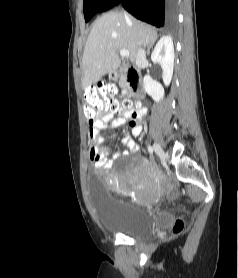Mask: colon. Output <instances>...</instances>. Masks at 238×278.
<instances>
[{
	"mask_svg": "<svg viewBox=\"0 0 238 278\" xmlns=\"http://www.w3.org/2000/svg\"><path fill=\"white\" fill-rule=\"evenodd\" d=\"M116 88L112 85H103L96 88H90L85 91L84 100V114L89 121L90 126L96 121L97 116L102 112H116L119 107L125 111L133 110V104L130 99H124L119 105L116 100ZM86 137H91V130H86ZM184 229V222L177 220L172 228L174 234H180Z\"/></svg>",
	"mask_w": 238,
	"mask_h": 278,
	"instance_id": "1",
	"label": "colon"
}]
</instances>
